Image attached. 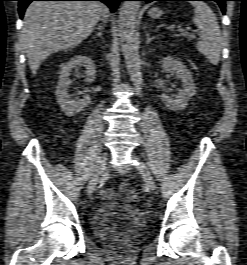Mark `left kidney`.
Wrapping results in <instances>:
<instances>
[{
    "instance_id": "obj_1",
    "label": "left kidney",
    "mask_w": 247,
    "mask_h": 265,
    "mask_svg": "<svg viewBox=\"0 0 247 265\" xmlns=\"http://www.w3.org/2000/svg\"><path fill=\"white\" fill-rule=\"evenodd\" d=\"M162 68L175 73L176 78L180 79L182 82V89L179 90L176 99H172L163 93L161 95L163 103L172 111L185 109L188 102L195 94V85L189 70L180 59L170 56L162 60Z\"/></svg>"
}]
</instances>
